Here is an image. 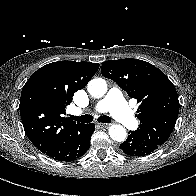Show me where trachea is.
<instances>
[{
  "label": "trachea",
  "mask_w": 196,
  "mask_h": 196,
  "mask_svg": "<svg viewBox=\"0 0 196 196\" xmlns=\"http://www.w3.org/2000/svg\"><path fill=\"white\" fill-rule=\"evenodd\" d=\"M70 118L72 120H75V121L81 122V123H90V122L93 121V117L91 115H88V114L82 115L80 117L71 115ZM98 121L102 122V123H111L112 120L108 116H100L98 118Z\"/></svg>",
  "instance_id": "1"
}]
</instances>
